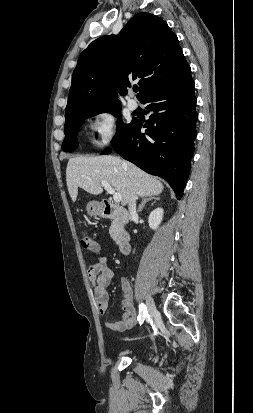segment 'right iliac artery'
I'll use <instances>...</instances> for the list:
<instances>
[{
    "label": "right iliac artery",
    "mask_w": 253,
    "mask_h": 413,
    "mask_svg": "<svg viewBox=\"0 0 253 413\" xmlns=\"http://www.w3.org/2000/svg\"><path fill=\"white\" fill-rule=\"evenodd\" d=\"M146 315H148L147 308L143 303H141L139 305V315H138V321L140 325L144 322Z\"/></svg>",
    "instance_id": "right-iliac-artery-1"
}]
</instances>
